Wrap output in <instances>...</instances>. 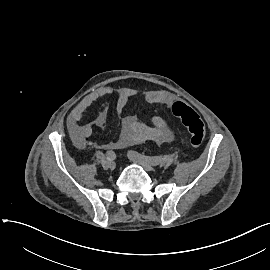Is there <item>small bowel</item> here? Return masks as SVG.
<instances>
[{
	"mask_svg": "<svg viewBox=\"0 0 270 270\" xmlns=\"http://www.w3.org/2000/svg\"><path fill=\"white\" fill-rule=\"evenodd\" d=\"M114 93L110 87H101L86 95L78 105L70 112L67 126L70 135L80 144H85L93 132V126L104 128L107 120V110H103L93 123H81L85 112L97 100L109 97ZM133 93L130 89H119L115 103V111L122 115ZM148 104H169L173 95L165 90H152L144 95ZM175 133L170 123L163 117L153 116L149 124L138 121L134 116L128 115L122 118V128L119 138L108 144L101 145L102 149H122L143 142L167 144L174 140Z\"/></svg>",
	"mask_w": 270,
	"mask_h": 270,
	"instance_id": "small-bowel-1",
	"label": "small bowel"
}]
</instances>
